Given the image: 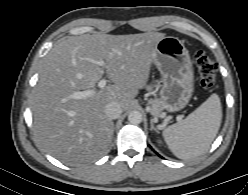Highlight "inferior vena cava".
<instances>
[{"mask_svg": "<svg viewBox=\"0 0 248 195\" xmlns=\"http://www.w3.org/2000/svg\"><path fill=\"white\" fill-rule=\"evenodd\" d=\"M120 104L116 102H110L105 106V114L109 119H117L122 113Z\"/></svg>", "mask_w": 248, "mask_h": 195, "instance_id": "602c4592", "label": "inferior vena cava"}]
</instances>
